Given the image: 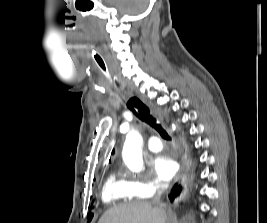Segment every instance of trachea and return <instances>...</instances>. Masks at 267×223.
Returning <instances> with one entry per match:
<instances>
[{
	"label": "trachea",
	"mask_w": 267,
	"mask_h": 223,
	"mask_svg": "<svg viewBox=\"0 0 267 223\" xmlns=\"http://www.w3.org/2000/svg\"><path fill=\"white\" fill-rule=\"evenodd\" d=\"M104 71H106L105 66ZM109 81L112 86L116 88L113 80L109 78ZM127 106L141 121L147 123L153 129H155L163 139L171 140V137L168 135L166 130H164L161 124L157 122V119L152 114H150L149 108L144 103H142L140 99H138L137 97L130 98L127 102Z\"/></svg>",
	"instance_id": "3493384b"
}]
</instances>
